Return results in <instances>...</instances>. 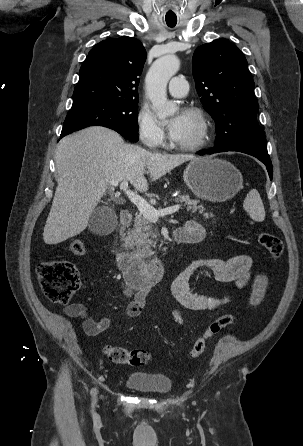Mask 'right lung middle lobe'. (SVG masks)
<instances>
[{
	"label": "right lung middle lobe",
	"mask_w": 303,
	"mask_h": 446,
	"mask_svg": "<svg viewBox=\"0 0 303 446\" xmlns=\"http://www.w3.org/2000/svg\"><path fill=\"white\" fill-rule=\"evenodd\" d=\"M138 101H108L71 108L61 136L89 126H104L131 141H138Z\"/></svg>",
	"instance_id": "right-lung-middle-lobe-1"
}]
</instances>
